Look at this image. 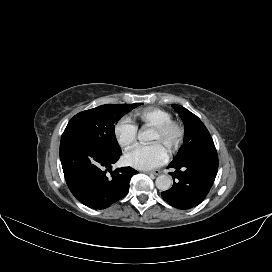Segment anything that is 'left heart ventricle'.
<instances>
[{
  "label": "left heart ventricle",
  "mask_w": 272,
  "mask_h": 272,
  "mask_svg": "<svg viewBox=\"0 0 272 272\" xmlns=\"http://www.w3.org/2000/svg\"><path fill=\"white\" fill-rule=\"evenodd\" d=\"M151 141L152 142H160L161 144L164 145V142H163L161 136L156 131H153V135H152Z\"/></svg>",
  "instance_id": "obj_1"
}]
</instances>
